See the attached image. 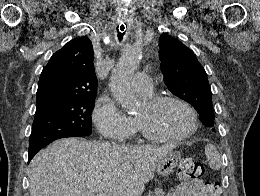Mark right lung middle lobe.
<instances>
[{
  "label": "right lung middle lobe",
  "instance_id": "right-lung-middle-lobe-1",
  "mask_svg": "<svg viewBox=\"0 0 260 196\" xmlns=\"http://www.w3.org/2000/svg\"><path fill=\"white\" fill-rule=\"evenodd\" d=\"M95 98L96 94H79L37 106L29 151H38L56 139L90 135Z\"/></svg>",
  "mask_w": 260,
  "mask_h": 196
}]
</instances>
